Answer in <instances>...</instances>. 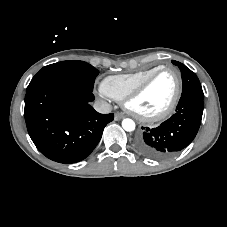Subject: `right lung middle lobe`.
<instances>
[{"label": "right lung middle lobe", "instance_id": "right-lung-middle-lobe-1", "mask_svg": "<svg viewBox=\"0 0 227 227\" xmlns=\"http://www.w3.org/2000/svg\"><path fill=\"white\" fill-rule=\"evenodd\" d=\"M99 71L83 61H62L43 67L31 80L30 84L46 79H62L92 91Z\"/></svg>", "mask_w": 227, "mask_h": 227}]
</instances>
